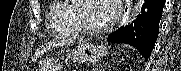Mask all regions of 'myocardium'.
I'll list each match as a JSON object with an SVG mask.
<instances>
[{
	"mask_svg": "<svg viewBox=\"0 0 181 71\" xmlns=\"http://www.w3.org/2000/svg\"><path fill=\"white\" fill-rule=\"evenodd\" d=\"M90 1V0H73L72 7V20L75 27L78 29L80 34L90 37L100 36L106 33L110 28L111 24H106L100 28H91L84 24L81 19L80 11L82 7V2Z\"/></svg>",
	"mask_w": 181,
	"mask_h": 71,
	"instance_id": "1",
	"label": "myocardium"
}]
</instances>
